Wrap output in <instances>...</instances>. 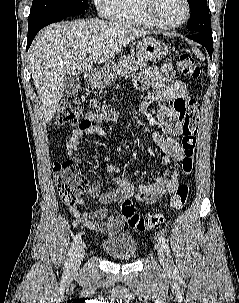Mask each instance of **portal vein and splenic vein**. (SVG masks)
I'll return each mask as SVG.
<instances>
[{"mask_svg": "<svg viewBox=\"0 0 239 303\" xmlns=\"http://www.w3.org/2000/svg\"><path fill=\"white\" fill-rule=\"evenodd\" d=\"M94 49H95V47H90V48L88 49V53H91Z\"/></svg>", "mask_w": 239, "mask_h": 303, "instance_id": "18ae733b", "label": "portal vein and splenic vein"}]
</instances>
